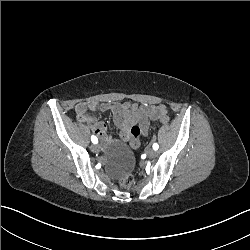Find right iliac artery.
Instances as JSON below:
<instances>
[{
	"mask_svg": "<svg viewBox=\"0 0 250 250\" xmlns=\"http://www.w3.org/2000/svg\"><path fill=\"white\" fill-rule=\"evenodd\" d=\"M91 141L94 143V144H97L98 143V139L96 136L92 135L91 136Z\"/></svg>",
	"mask_w": 250,
	"mask_h": 250,
	"instance_id": "right-iliac-artery-1",
	"label": "right iliac artery"
}]
</instances>
